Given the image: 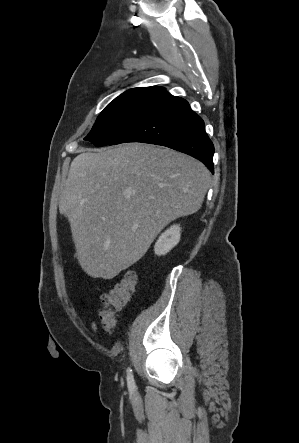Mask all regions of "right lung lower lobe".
<instances>
[{
	"label": "right lung lower lobe",
	"instance_id": "98d812e1",
	"mask_svg": "<svg viewBox=\"0 0 299 443\" xmlns=\"http://www.w3.org/2000/svg\"><path fill=\"white\" fill-rule=\"evenodd\" d=\"M142 142L162 145L202 161L213 173L214 146L204 122L188 102L164 92L109 145Z\"/></svg>",
	"mask_w": 299,
	"mask_h": 443
}]
</instances>
